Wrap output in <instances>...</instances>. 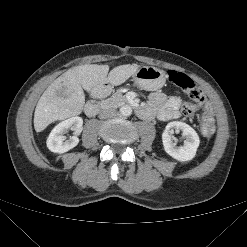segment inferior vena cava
<instances>
[{
	"mask_svg": "<svg viewBox=\"0 0 247 247\" xmlns=\"http://www.w3.org/2000/svg\"><path fill=\"white\" fill-rule=\"evenodd\" d=\"M115 115H116V110L114 108H105L100 111L99 118L106 119V118L114 117Z\"/></svg>",
	"mask_w": 247,
	"mask_h": 247,
	"instance_id": "1",
	"label": "inferior vena cava"
}]
</instances>
